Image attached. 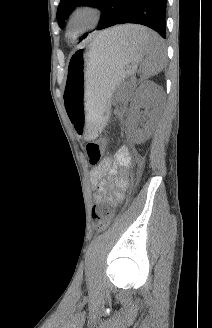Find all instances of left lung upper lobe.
Returning a JSON list of instances; mask_svg holds the SVG:
<instances>
[{"instance_id": "1", "label": "left lung upper lobe", "mask_w": 212, "mask_h": 328, "mask_svg": "<svg viewBox=\"0 0 212 328\" xmlns=\"http://www.w3.org/2000/svg\"><path fill=\"white\" fill-rule=\"evenodd\" d=\"M106 0H61L57 9V21L60 27H63L66 17L79 5H89L98 7L102 13L104 11ZM102 16V15H101ZM86 36H82V41Z\"/></svg>"}]
</instances>
